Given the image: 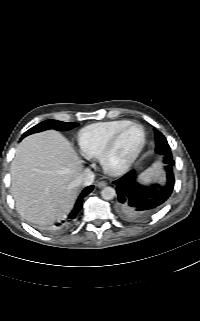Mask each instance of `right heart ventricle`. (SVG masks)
<instances>
[{"instance_id":"e07e8e85","label":"right heart ventricle","mask_w":200,"mask_h":321,"mask_svg":"<svg viewBox=\"0 0 200 321\" xmlns=\"http://www.w3.org/2000/svg\"><path fill=\"white\" fill-rule=\"evenodd\" d=\"M131 121L112 120L97 122L82 128L78 133V145L81 153L88 158L99 157L111 137L121 127Z\"/></svg>"}]
</instances>
